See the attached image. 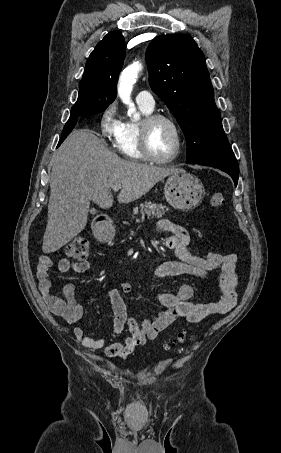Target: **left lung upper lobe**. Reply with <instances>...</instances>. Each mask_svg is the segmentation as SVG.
I'll use <instances>...</instances> for the list:
<instances>
[{"mask_svg":"<svg viewBox=\"0 0 281 453\" xmlns=\"http://www.w3.org/2000/svg\"><path fill=\"white\" fill-rule=\"evenodd\" d=\"M146 60L153 91L167 105L187 142L188 164L235 157L224 133L205 57L185 34L156 37Z\"/></svg>","mask_w":281,"mask_h":453,"instance_id":"1","label":"left lung upper lobe"}]
</instances>
